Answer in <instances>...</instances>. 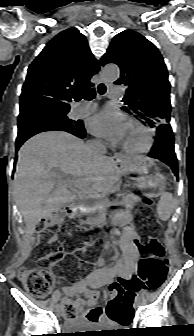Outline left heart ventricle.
Returning <instances> with one entry per match:
<instances>
[{"label": "left heart ventricle", "instance_id": "b2bd125f", "mask_svg": "<svg viewBox=\"0 0 194 336\" xmlns=\"http://www.w3.org/2000/svg\"><path fill=\"white\" fill-rule=\"evenodd\" d=\"M145 143L146 135L134 126L127 124L121 144L131 148H140Z\"/></svg>", "mask_w": 194, "mask_h": 336}]
</instances>
